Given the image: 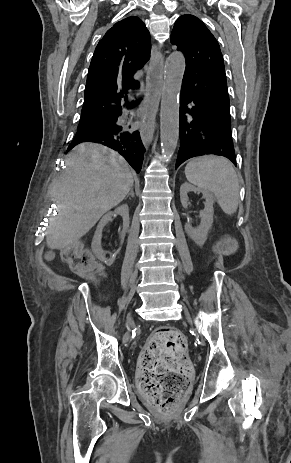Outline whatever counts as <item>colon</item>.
<instances>
[{
    "label": "colon",
    "instance_id": "5ec220e1",
    "mask_svg": "<svg viewBox=\"0 0 291 463\" xmlns=\"http://www.w3.org/2000/svg\"><path fill=\"white\" fill-rule=\"evenodd\" d=\"M231 247L228 239L218 249ZM62 259L82 277H98L102 268L92 253L79 244L62 251ZM187 339L178 330L163 327L154 332L140 356V387L144 398L169 415L190 385V367L186 361Z\"/></svg>",
    "mask_w": 291,
    "mask_h": 463
}]
</instances>
